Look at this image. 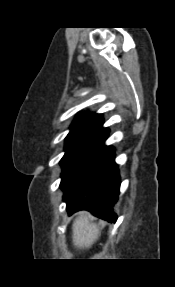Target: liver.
I'll return each instance as SVG.
<instances>
[{"label":"liver","mask_w":175,"mask_h":287,"mask_svg":"<svg viewBox=\"0 0 175 287\" xmlns=\"http://www.w3.org/2000/svg\"><path fill=\"white\" fill-rule=\"evenodd\" d=\"M99 236V225L91 221L89 213L80 212L72 225L73 245L78 249H88L98 240Z\"/></svg>","instance_id":"1"}]
</instances>
